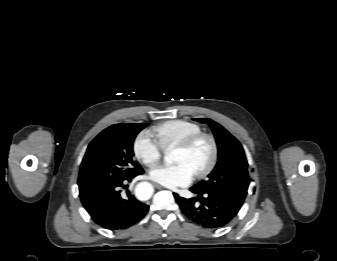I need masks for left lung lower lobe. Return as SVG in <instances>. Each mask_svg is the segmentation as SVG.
Returning <instances> with one entry per match:
<instances>
[{"mask_svg": "<svg viewBox=\"0 0 337 261\" xmlns=\"http://www.w3.org/2000/svg\"><path fill=\"white\" fill-rule=\"evenodd\" d=\"M198 197L185 199L174 193L182 213L196 224L207 228L224 227L237 215L239 209L227 199L214 193H200L190 188ZM199 202V203H197Z\"/></svg>", "mask_w": 337, "mask_h": 261, "instance_id": "1", "label": "left lung lower lobe"}]
</instances>
